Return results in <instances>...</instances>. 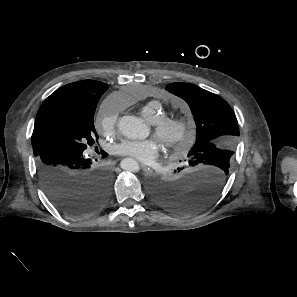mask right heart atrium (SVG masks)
Returning <instances> with one entry per match:
<instances>
[{
    "label": "right heart atrium",
    "instance_id": "obj_1",
    "mask_svg": "<svg viewBox=\"0 0 297 297\" xmlns=\"http://www.w3.org/2000/svg\"><path fill=\"white\" fill-rule=\"evenodd\" d=\"M121 107L114 97L106 98L101 104L97 124L102 134L109 136L115 132Z\"/></svg>",
    "mask_w": 297,
    "mask_h": 297
}]
</instances>
